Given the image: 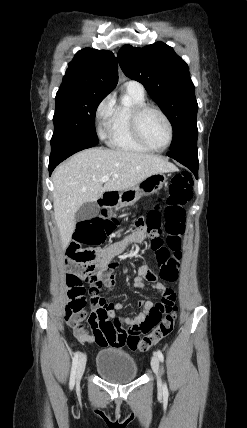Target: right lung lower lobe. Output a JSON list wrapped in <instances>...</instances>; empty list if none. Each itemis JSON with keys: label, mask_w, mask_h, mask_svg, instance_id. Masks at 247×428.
I'll use <instances>...</instances> for the list:
<instances>
[{"label": "right lung lower lobe", "mask_w": 247, "mask_h": 428, "mask_svg": "<svg viewBox=\"0 0 247 428\" xmlns=\"http://www.w3.org/2000/svg\"><path fill=\"white\" fill-rule=\"evenodd\" d=\"M93 147L91 145L82 144H63L54 146L51 149V155L49 160V174L51 175L54 168L63 160L73 155L74 153Z\"/></svg>", "instance_id": "1"}]
</instances>
